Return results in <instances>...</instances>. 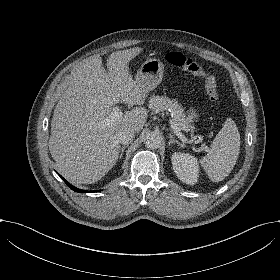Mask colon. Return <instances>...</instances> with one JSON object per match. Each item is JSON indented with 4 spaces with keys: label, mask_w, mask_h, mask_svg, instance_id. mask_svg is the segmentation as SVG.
<instances>
[{
    "label": "colon",
    "mask_w": 280,
    "mask_h": 280,
    "mask_svg": "<svg viewBox=\"0 0 280 280\" xmlns=\"http://www.w3.org/2000/svg\"><path fill=\"white\" fill-rule=\"evenodd\" d=\"M166 58L171 65L177 68L181 67L187 70V72L191 75L203 74L208 98L213 102L219 101V91L215 78L209 74H206L196 61L188 58L184 54L180 55L174 50L169 51L166 55Z\"/></svg>",
    "instance_id": "1"
}]
</instances>
